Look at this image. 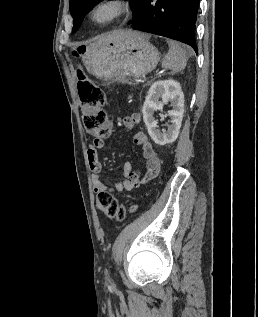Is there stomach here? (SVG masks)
<instances>
[{
    "label": "stomach",
    "mask_w": 258,
    "mask_h": 317,
    "mask_svg": "<svg viewBox=\"0 0 258 317\" xmlns=\"http://www.w3.org/2000/svg\"><path fill=\"white\" fill-rule=\"evenodd\" d=\"M81 58L88 70L101 78H114L120 74L144 76L158 64L160 52L150 44L142 32L128 30L125 40L84 44Z\"/></svg>",
    "instance_id": "1"
}]
</instances>
